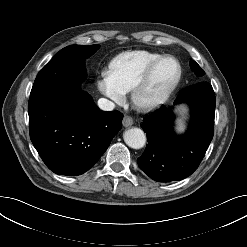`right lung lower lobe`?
I'll return each mask as SVG.
<instances>
[{
	"instance_id": "98d812e1",
	"label": "right lung lower lobe",
	"mask_w": 247,
	"mask_h": 247,
	"mask_svg": "<svg viewBox=\"0 0 247 247\" xmlns=\"http://www.w3.org/2000/svg\"><path fill=\"white\" fill-rule=\"evenodd\" d=\"M28 113L30 138L43 162L67 176L81 175L99 160L123 118L119 111H101L80 88L31 91Z\"/></svg>"
}]
</instances>
